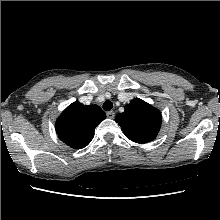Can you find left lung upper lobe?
Listing matches in <instances>:
<instances>
[{
  "label": "left lung upper lobe",
  "instance_id": "obj_1",
  "mask_svg": "<svg viewBox=\"0 0 220 220\" xmlns=\"http://www.w3.org/2000/svg\"><path fill=\"white\" fill-rule=\"evenodd\" d=\"M115 121L125 136L136 143H147L155 139L161 127V114L145 101L135 98L117 114Z\"/></svg>",
  "mask_w": 220,
  "mask_h": 220
}]
</instances>
